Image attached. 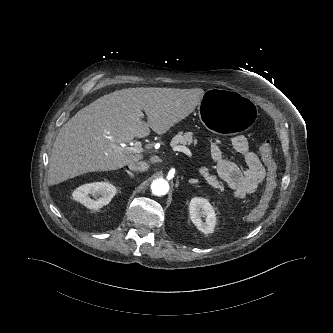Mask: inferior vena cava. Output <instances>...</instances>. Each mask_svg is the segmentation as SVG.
<instances>
[{"mask_svg":"<svg viewBox=\"0 0 333 333\" xmlns=\"http://www.w3.org/2000/svg\"><path fill=\"white\" fill-rule=\"evenodd\" d=\"M128 167L130 170L143 172L149 168V164L144 161H134L131 162Z\"/></svg>","mask_w":333,"mask_h":333,"instance_id":"obj_1","label":"inferior vena cava"}]
</instances>
